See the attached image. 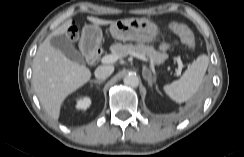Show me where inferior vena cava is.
I'll return each instance as SVG.
<instances>
[{
	"mask_svg": "<svg viewBox=\"0 0 244 157\" xmlns=\"http://www.w3.org/2000/svg\"><path fill=\"white\" fill-rule=\"evenodd\" d=\"M114 71L112 66H99L95 70V77L99 80H105L108 78Z\"/></svg>",
	"mask_w": 244,
	"mask_h": 157,
	"instance_id": "inferior-vena-cava-1",
	"label": "inferior vena cava"
}]
</instances>
